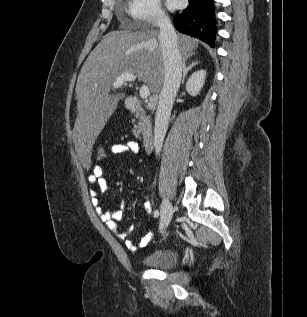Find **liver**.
<instances>
[{
	"instance_id": "obj_1",
	"label": "liver",
	"mask_w": 307,
	"mask_h": 317,
	"mask_svg": "<svg viewBox=\"0 0 307 317\" xmlns=\"http://www.w3.org/2000/svg\"><path fill=\"white\" fill-rule=\"evenodd\" d=\"M177 38L181 57L193 55L198 40L183 34ZM122 73L134 74L153 93L161 90L164 68L157 30L112 31L83 64L75 89L78 115L73 140L77 159L86 172L91 170L92 146L122 98V94H109Z\"/></svg>"
}]
</instances>
